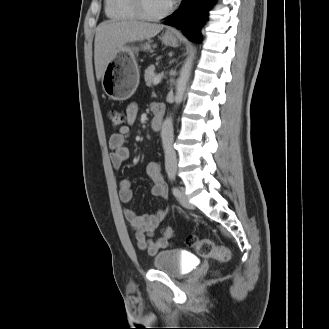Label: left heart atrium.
<instances>
[{"instance_id":"obj_1","label":"left heart atrium","mask_w":329,"mask_h":329,"mask_svg":"<svg viewBox=\"0 0 329 329\" xmlns=\"http://www.w3.org/2000/svg\"><path fill=\"white\" fill-rule=\"evenodd\" d=\"M170 4H173L175 0H168Z\"/></svg>"}]
</instances>
